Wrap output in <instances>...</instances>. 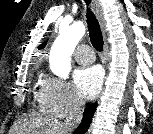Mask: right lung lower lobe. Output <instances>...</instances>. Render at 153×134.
I'll return each mask as SVG.
<instances>
[{
  "mask_svg": "<svg viewBox=\"0 0 153 134\" xmlns=\"http://www.w3.org/2000/svg\"><path fill=\"white\" fill-rule=\"evenodd\" d=\"M95 109H96V103L90 104L86 107V109L84 111V117L82 119V122L80 123V125L77 128V133L82 134L88 130L90 123L92 121Z\"/></svg>",
  "mask_w": 153,
  "mask_h": 134,
  "instance_id": "98d812e1",
  "label": "right lung lower lobe"
}]
</instances>
